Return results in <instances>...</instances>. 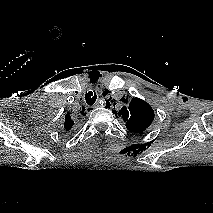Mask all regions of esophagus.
<instances>
[{"label":"esophagus","mask_w":213,"mask_h":213,"mask_svg":"<svg viewBox=\"0 0 213 213\" xmlns=\"http://www.w3.org/2000/svg\"><path fill=\"white\" fill-rule=\"evenodd\" d=\"M99 106V103L97 102L95 105H94V107H98Z\"/></svg>","instance_id":"1"}]
</instances>
